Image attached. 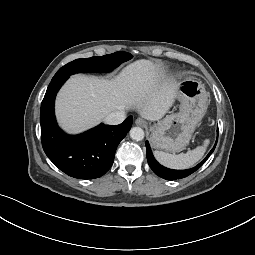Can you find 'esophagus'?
<instances>
[{
    "mask_svg": "<svg viewBox=\"0 0 255 255\" xmlns=\"http://www.w3.org/2000/svg\"><path fill=\"white\" fill-rule=\"evenodd\" d=\"M135 123L137 126L145 127L147 125V122L142 118H137L135 120Z\"/></svg>",
    "mask_w": 255,
    "mask_h": 255,
    "instance_id": "esophagus-1",
    "label": "esophagus"
}]
</instances>
